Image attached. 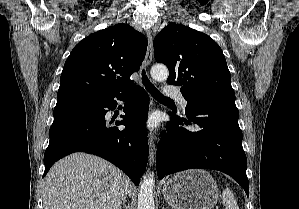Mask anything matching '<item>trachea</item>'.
I'll list each match as a JSON object with an SVG mask.
<instances>
[{
    "label": "trachea",
    "instance_id": "1",
    "mask_svg": "<svg viewBox=\"0 0 299 209\" xmlns=\"http://www.w3.org/2000/svg\"><path fill=\"white\" fill-rule=\"evenodd\" d=\"M142 83L145 86L146 90L158 101H172L170 98L162 95L156 87L150 82V80L146 77L145 72H142Z\"/></svg>",
    "mask_w": 299,
    "mask_h": 209
}]
</instances>
